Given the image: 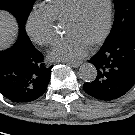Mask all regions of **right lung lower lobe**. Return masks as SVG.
Masks as SVG:
<instances>
[{"instance_id":"right-lung-lower-lobe-1","label":"right lung lower lobe","mask_w":135,"mask_h":135,"mask_svg":"<svg viewBox=\"0 0 135 135\" xmlns=\"http://www.w3.org/2000/svg\"><path fill=\"white\" fill-rule=\"evenodd\" d=\"M19 28L16 43L0 51V93L12 102L28 103L45 93L53 66L43 63L42 53Z\"/></svg>"}]
</instances>
